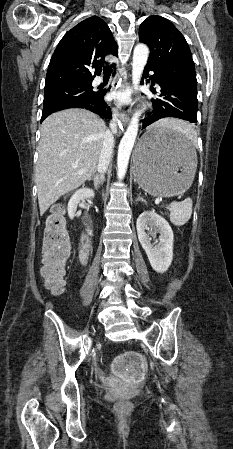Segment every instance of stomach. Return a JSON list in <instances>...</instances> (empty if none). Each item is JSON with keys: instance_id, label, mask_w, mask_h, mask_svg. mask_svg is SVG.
Returning <instances> with one entry per match:
<instances>
[{"instance_id": "1", "label": "stomach", "mask_w": 233, "mask_h": 449, "mask_svg": "<svg viewBox=\"0 0 233 449\" xmlns=\"http://www.w3.org/2000/svg\"><path fill=\"white\" fill-rule=\"evenodd\" d=\"M196 151L185 133L154 124L140 138L132 170L137 183L153 196H173L192 182Z\"/></svg>"}]
</instances>
